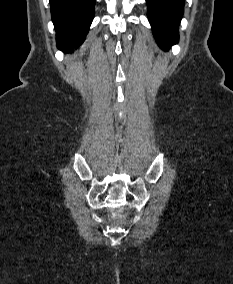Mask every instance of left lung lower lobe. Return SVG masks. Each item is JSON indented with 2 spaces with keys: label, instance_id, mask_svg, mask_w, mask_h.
Segmentation results:
<instances>
[{
  "label": "left lung lower lobe",
  "instance_id": "left-lung-lower-lobe-1",
  "mask_svg": "<svg viewBox=\"0 0 233 284\" xmlns=\"http://www.w3.org/2000/svg\"><path fill=\"white\" fill-rule=\"evenodd\" d=\"M146 2L154 37L162 49L168 50L179 40L178 26L183 16L185 0H146Z\"/></svg>",
  "mask_w": 233,
  "mask_h": 284
}]
</instances>
